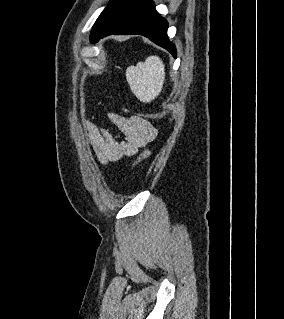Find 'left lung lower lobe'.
<instances>
[{
  "mask_svg": "<svg viewBox=\"0 0 284 319\" xmlns=\"http://www.w3.org/2000/svg\"><path fill=\"white\" fill-rule=\"evenodd\" d=\"M167 28L168 22L155 10L152 0H124L93 43L111 34H140L165 48L176 58V47L168 39Z\"/></svg>",
  "mask_w": 284,
  "mask_h": 319,
  "instance_id": "0a47b994",
  "label": "left lung lower lobe"
}]
</instances>
